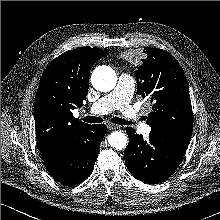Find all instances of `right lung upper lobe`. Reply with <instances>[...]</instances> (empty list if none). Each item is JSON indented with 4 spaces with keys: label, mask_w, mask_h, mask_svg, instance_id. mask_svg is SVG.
Listing matches in <instances>:
<instances>
[{
    "label": "right lung upper lobe",
    "mask_w": 220,
    "mask_h": 220,
    "mask_svg": "<svg viewBox=\"0 0 220 220\" xmlns=\"http://www.w3.org/2000/svg\"><path fill=\"white\" fill-rule=\"evenodd\" d=\"M108 54L99 48L80 47L64 52L44 71L34 115L37 144L45 163L91 126L75 118L72 110L83 105L92 66Z\"/></svg>",
    "instance_id": "cb5924a9"
}]
</instances>
